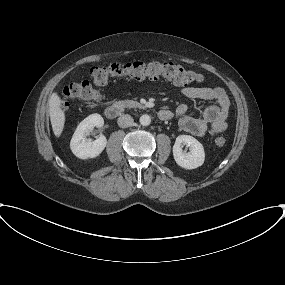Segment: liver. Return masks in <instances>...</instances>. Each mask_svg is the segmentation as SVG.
<instances>
[{"label": "liver", "mask_w": 285, "mask_h": 285, "mask_svg": "<svg viewBox=\"0 0 285 285\" xmlns=\"http://www.w3.org/2000/svg\"><path fill=\"white\" fill-rule=\"evenodd\" d=\"M62 100L54 92L49 99V114L54 135L59 138L62 134L65 124V113L61 108Z\"/></svg>", "instance_id": "obj_1"}]
</instances>
